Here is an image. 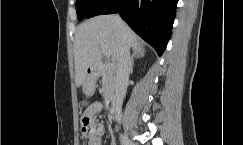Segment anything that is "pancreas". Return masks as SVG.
<instances>
[{
    "label": "pancreas",
    "mask_w": 243,
    "mask_h": 145,
    "mask_svg": "<svg viewBox=\"0 0 243 145\" xmlns=\"http://www.w3.org/2000/svg\"><path fill=\"white\" fill-rule=\"evenodd\" d=\"M114 72L111 68L106 67L102 73V92L105 97L114 91Z\"/></svg>",
    "instance_id": "pancreas-1"
}]
</instances>
